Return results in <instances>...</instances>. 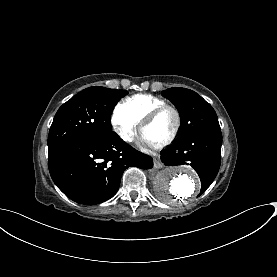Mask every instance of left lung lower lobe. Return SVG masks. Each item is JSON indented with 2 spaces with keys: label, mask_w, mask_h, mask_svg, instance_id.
Returning a JSON list of instances; mask_svg holds the SVG:
<instances>
[{
  "label": "left lung lower lobe",
  "mask_w": 277,
  "mask_h": 277,
  "mask_svg": "<svg viewBox=\"0 0 277 277\" xmlns=\"http://www.w3.org/2000/svg\"><path fill=\"white\" fill-rule=\"evenodd\" d=\"M221 130H209L179 138L161 152L167 166L191 165L201 179V195L215 179L221 163Z\"/></svg>",
  "instance_id": "0a47b994"
}]
</instances>
